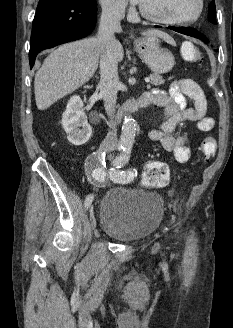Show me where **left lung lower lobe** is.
Wrapping results in <instances>:
<instances>
[{
    "instance_id": "0a47b994",
    "label": "left lung lower lobe",
    "mask_w": 233,
    "mask_h": 328,
    "mask_svg": "<svg viewBox=\"0 0 233 328\" xmlns=\"http://www.w3.org/2000/svg\"><path fill=\"white\" fill-rule=\"evenodd\" d=\"M155 27H160V26H155ZM169 28L171 30H174V31L179 32L181 34L188 35V36H191V37H195V38H198V39H201L203 41L208 42V39L203 34H201L200 32H198L195 29L181 28V27H169Z\"/></svg>"
}]
</instances>
